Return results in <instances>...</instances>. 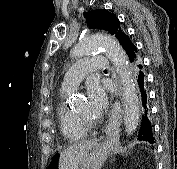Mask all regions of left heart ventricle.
I'll return each mask as SVG.
<instances>
[{"mask_svg": "<svg viewBox=\"0 0 177 169\" xmlns=\"http://www.w3.org/2000/svg\"><path fill=\"white\" fill-rule=\"evenodd\" d=\"M75 112L85 115L86 117L93 119V120L98 119L97 115H94L90 112L88 102L86 99H84L80 102V104L76 108Z\"/></svg>", "mask_w": 177, "mask_h": 169, "instance_id": "obj_1", "label": "left heart ventricle"}]
</instances>
